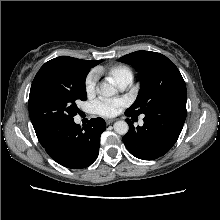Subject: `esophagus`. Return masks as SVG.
I'll list each match as a JSON object with an SVG mask.
<instances>
[{"mask_svg": "<svg viewBox=\"0 0 220 220\" xmlns=\"http://www.w3.org/2000/svg\"><path fill=\"white\" fill-rule=\"evenodd\" d=\"M115 121V119H106V124L110 125Z\"/></svg>", "mask_w": 220, "mask_h": 220, "instance_id": "obj_1", "label": "esophagus"}]
</instances>
